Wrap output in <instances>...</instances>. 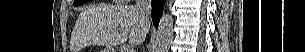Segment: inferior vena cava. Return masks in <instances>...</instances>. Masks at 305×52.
I'll use <instances>...</instances> for the list:
<instances>
[{
    "label": "inferior vena cava",
    "instance_id": "obj_1",
    "mask_svg": "<svg viewBox=\"0 0 305 52\" xmlns=\"http://www.w3.org/2000/svg\"><path fill=\"white\" fill-rule=\"evenodd\" d=\"M151 0H136V9L140 12L143 23L150 27Z\"/></svg>",
    "mask_w": 305,
    "mask_h": 52
}]
</instances>
